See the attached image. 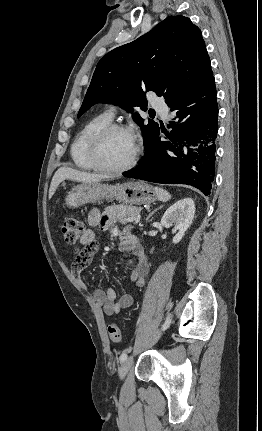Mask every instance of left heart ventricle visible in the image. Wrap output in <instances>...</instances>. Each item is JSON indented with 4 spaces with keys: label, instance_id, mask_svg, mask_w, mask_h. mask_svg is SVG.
I'll list each match as a JSON object with an SVG mask.
<instances>
[{
    "label": "left heart ventricle",
    "instance_id": "left-heart-ventricle-1",
    "mask_svg": "<svg viewBox=\"0 0 262 431\" xmlns=\"http://www.w3.org/2000/svg\"><path fill=\"white\" fill-rule=\"evenodd\" d=\"M134 149L135 139L132 135L125 132H115L105 139L102 157L107 165L120 167L130 160Z\"/></svg>",
    "mask_w": 262,
    "mask_h": 431
}]
</instances>
